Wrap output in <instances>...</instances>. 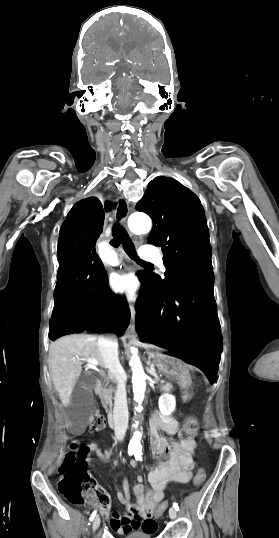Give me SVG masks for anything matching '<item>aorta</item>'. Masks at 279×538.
<instances>
[{"instance_id": "obj_1", "label": "aorta", "mask_w": 279, "mask_h": 538, "mask_svg": "<svg viewBox=\"0 0 279 538\" xmlns=\"http://www.w3.org/2000/svg\"><path fill=\"white\" fill-rule=\"evenodd\" d=\"M128 226L130 230L135 234H145L150 232L152 222L147 215L141 213H134L130 215L128 219ZM136 353L137 350H135V355L134 358L130 361V365L132 367L134 400L138 403L137 411L140 412L142 410L141 403L144 399V393L146 389V374L144 373L142 364ZM141 437V433L139 431H135L132 439L130 440L129 447L131 449H140Z\"/></svg>"}]
</instances>
